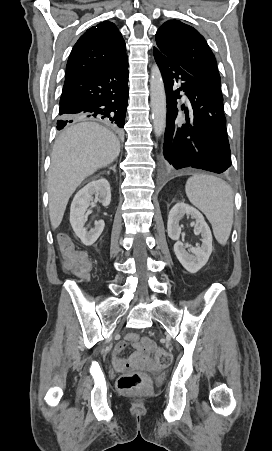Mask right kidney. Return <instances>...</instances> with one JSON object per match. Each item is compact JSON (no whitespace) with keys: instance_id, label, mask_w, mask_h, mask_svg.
<instances>
[{"instance_id":"1","label":"right kidney","mask_w":272,"mask_h":451,"mask_svg":"<svg viewBox=\"0 0 272 451\" xmlns=\"http://www.w3.org/2000/svg\"><path fill=\"white\" fill-rule=\"evenodd\" d=\"M92 196H96V202H101L102 206H109L111 202V190L110 184L105 178L89 182L87 186H84L82 190L77 192L71 204L70 224L84 245H92L98 239L99 235H101L105 226L103 220H99V222H95L94 227H91L89 231H87V227H84L86 222L84 214L87 208H89L90 202L94 200Z\"/></svg>"}]
</instances>
